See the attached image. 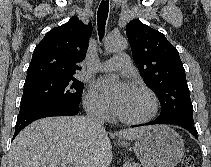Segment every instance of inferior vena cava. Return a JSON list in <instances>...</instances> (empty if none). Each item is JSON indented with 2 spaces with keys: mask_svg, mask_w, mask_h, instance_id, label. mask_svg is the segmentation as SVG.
<instances>
[{
  "mask_svg": "<svg viewBox=\"0 0 211 167\" xmlns=\"http://www.w3.org/2000/svg\"><path fill=\"white\" fill-rule=\"evenodd\" d=\"M105 109L102 105L94 104L87 108L86 123L92 132H102L104 130Z\"/></svg>",
  "mask_w": 211,
  "mask_h": 167,
  "instance_id": "602c4592",
  "label": "inferior vena cava"
}]
</instances>
